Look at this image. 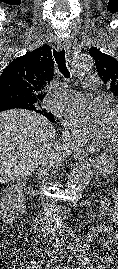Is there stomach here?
I'll list each match as a JSON object with an SVG mask.
<instances>
[{"label": "stomach", "instance_id": "1", "mask_svg": "<svg viewBox=\"0 0 118 269\" xmlns=\"http://www.w3.org/2000/svg\"><path fill=\"white\" fill-rule=\"evenodd\" d=\"M95 169L98 173L103 174L104 176L110 175L115 172L116 162L113 157L103 155L97 159Z\"/></svg>", "mask_w": 118, "mask_h": 269}]
</instances>
